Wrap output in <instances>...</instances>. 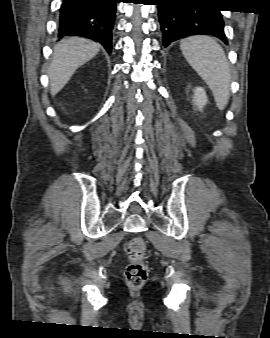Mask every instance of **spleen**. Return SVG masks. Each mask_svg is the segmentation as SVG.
<instances>
[{"mask_svg":"<svg viewBox=\"0 0 270 338\" xmlns=\"http://www.w3.org/2000/svg\"><path fill=\"white\" fill-rule=\"evenodd\" d=\"M180 49L190 66L211 89L217 107L223 110L230 97V69L223 48L209 36L181 40Z\"/></svg>","mask_w":270,"mask_h":338,"instance_id":"1","label":"spleen"}]
</instances>
